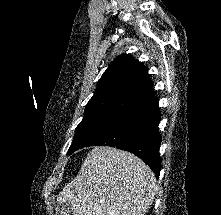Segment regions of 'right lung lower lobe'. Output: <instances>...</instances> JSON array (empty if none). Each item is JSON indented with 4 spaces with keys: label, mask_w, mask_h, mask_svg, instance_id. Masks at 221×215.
I'll return each instance as SVG.
<instances>
[{
    "label": "right lung lower lobe",
    "mask_w": 221,
    "mask_h": 215,
    "mask_svg": "<svg viewBox=\"0 0 221 215\" xmlns=\"http://www.w3.org/2000/svg\"><path fill=\"white\" fill-rule=\"evenodd\" d=\"M160 117L158 98H154L120 118L84 147L104 145L129 151L141 158L153 170L156 177H159L161 170L159 154L161 137L158 132Z\"/></svg>",
    "instance_id": "98d812e1"
}]
</instances>
